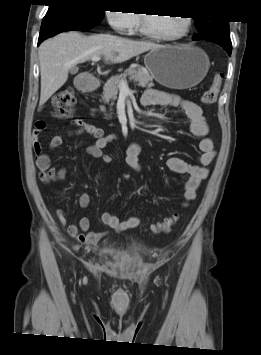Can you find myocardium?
<instances>
[{
	"mask_svg": "<svg viewBox=\"0 0 261 355\" xmlns=\"http://www.w3.org/2000/svg\"><path fill=\"white\" fill-rule=\"evenodd\" d=\"M184 20V29L182 32H180L177 35L174 36H166L162 34L155 33L152 31L147 24V17L146 15H140V31L143 35H145L148 38L154 39V40H159V41H178L182 38H184L190 31L191 25H192V19L189 16H182Z\"/></svg>",
	"mask_w": 261,
	"mask_h": 355,
	"instance_id": "obj_1",
	"label": "myocardium"
}]
</instances>
